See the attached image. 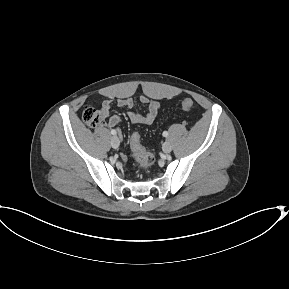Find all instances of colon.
<instances>
[{"label": "colon", "instance_id": "colon-1", "mask_svg": "<svg viewBox=\"0 0 289 289\" xmlns=\"http://www.w3.org/2000/svg\"><path fill=\"white\" fill-rule=\"evenodd\" d=\"M182 109L188 111L193 106V101L190 98H185L181 103ZM106 117L105 112L101 109H96L92 106H87L82 112V118L84 122L90 127H97L104 122ZM131 148L136 157L138 168L142 172H148L154 164L155 156L144 149L140 143V137L137 133L132 134Z\"/></svg>", "mask_w": 289, "mask_h": 289}]
</instances>
